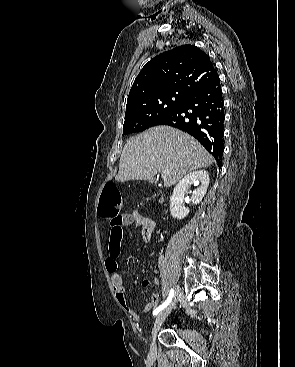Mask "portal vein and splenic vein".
Listing matches in <instances>:
<instances>
[{
    "label": "portal vein and splenic vein",
    "instance_id": "obj_1",
    "mask_svg": "<svg viewBox=\"0 0 295 367\" xmlns=\"http://www.w3.org/2000/svg\"><path fill=\"white\" fill-rule=\"evenodd\" d=\"M167 173H168V170L162 171V173H161L162 178H164Z\"/></svg>",
    "mask_w": 295,
    "mask_h": 367
}]
</instances>
